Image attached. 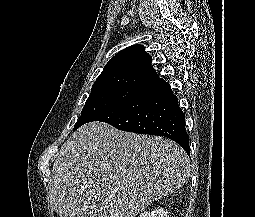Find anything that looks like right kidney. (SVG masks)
<instances>
[{
    "label": "right kidney",
    "instance_id": "1",
    "mask_svg": "<svg viewBox=\"0 0 255 217\" xmlns=\"http://www.w3.org/2000/svg\"><path fill=\"white\" fill-rule=\"evenodd\" d=\"M139 217H168V211L164 208H157L151 212H143Z\"/></svg>",
    "mask_w": 255,
    "mask_h": 217
}]
</instances>
